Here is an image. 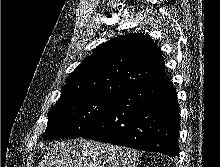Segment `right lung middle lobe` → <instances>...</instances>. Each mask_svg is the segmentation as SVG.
I'll return each instance as SVG.
<instances>
[{"label":"right lung middle lobe","mask_w":220,"mask_h":167,"mask_svg":"<svg viewBox=\"0 0 220 167\" xmlns=\"http://www.w3.org/2000/svg\"><path fill=\"white\" fill-rule=\"evenodd\" d=\"M114 96L85 95L59 99L51 107L45 140L77 138L89 131L105 115Z\"/></svg>","instance_id":"dd1d6c3e"}]
</instances>
